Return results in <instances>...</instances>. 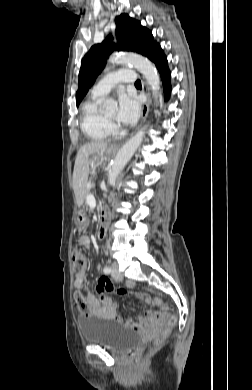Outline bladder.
I'll list each match as a JSON object with an SVG mask.
<instances>
[{
	"mask_svg": "<svg viewBox=\"0 0 252 390\" xmlns=\"http://www.w3.org/2000/svg\"><path fill=\"white\" fill-rule=\"evenodd\" d=\"M79 328L86 343L121 353L140 343V337L116 322L97 316L80 317Z\"/></svg>",
	"mask_w": 252,
	"mask_h": 390,
	"instance_id": "31cf9c89",
	"label": "bladder"
}]
</instances>
